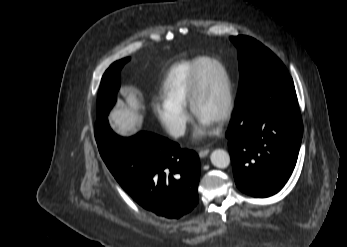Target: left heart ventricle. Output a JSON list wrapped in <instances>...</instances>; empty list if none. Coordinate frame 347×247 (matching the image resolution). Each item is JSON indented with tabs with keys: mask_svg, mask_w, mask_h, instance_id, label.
<instances>
[{
	"mask_svg": "<svg viewBox=\"0 0 347 247\" xmlns=\"http://www.w3.org/2000/svg\"><path fill=\"white\" fill-rule=\"evenodd\" d=\"M225 101V87L221 71L213 64L204 63L200 68V93L198 117L216 120Z\"/></svg>",
	"mask_w": 347,
	"mask_h": 247,
	"instance_id": "left-heart-ventricle-1",
	"label": "left heart ventricle"
}]
</instances>
